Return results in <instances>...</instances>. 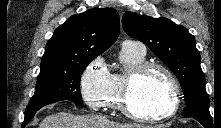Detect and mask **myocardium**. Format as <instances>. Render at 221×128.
<instances>
[{"label": "myocardium", "instance_id": "f54148a6", "mask_svg": "<svg viewBox=\"0 0 221 128\" xmlns=\"http://www.w3.org/2000/svg\"><path fill=\"white\" fill-rule=\"evenodd\" d=\"M159 70L168 79L171 88V100L168 108L159 114L148 115L137 112L131 104L135 84L149 71ZM180 105V88L175 75L166 66L155 62H143L126 75L122 88L121 110L130 119L144 122H162L176 113Z\"/></svg>", "mask_w": 221, "mask_h": 128}]
</instances>
